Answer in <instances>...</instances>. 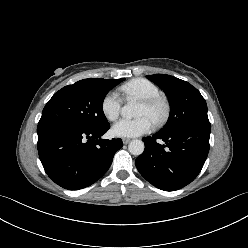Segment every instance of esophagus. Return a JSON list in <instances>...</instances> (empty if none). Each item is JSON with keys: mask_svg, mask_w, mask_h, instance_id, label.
Segmentation results:
<instances>
[{"mask_svg": "<svg viewBox=\"0 0 248 248\" xmlns=\"http://www.w3.org/2000/svg\"><path fill=\"white\" fill-rule=\"evenodd\" d=\"M122 141H123L124 144H128L131 141V139L123 138Z\"/></svg>", "mask_w": 248, "mask_h": 248, "instance_id": "34e87169", "label": "esophagus"}]
</instances>
